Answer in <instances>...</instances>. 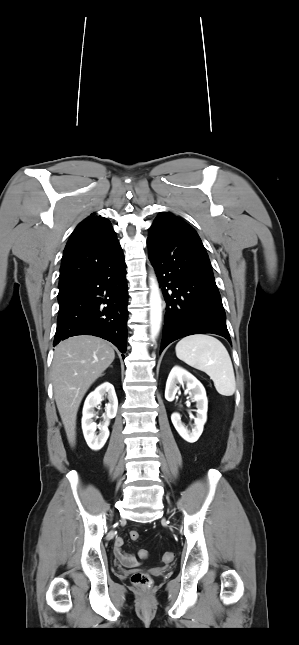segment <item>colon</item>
<instances>
[{"instance_id": "colon-1", "label": "colon", "mask_w": 299, "mask_h": 645, "mask_svg": "<svg viewBox=\"0 0 299 645\" xmlns=\"http://www.w3.org/2000/svg\"><path fill=\"white\" fill-rule=\"evenodd\" d=\"M130 537H131L132 540H137L139 538V533L137 531H131L130 532ZM138 555H139L140 558L145 559L148 556V552L146 550H144V549H141L138 552ZM173 558H174V555L171 552H165L162 555V560L164 562H166V563L171 562L173 560ZM132 582L137 587L144 588V587H147L149 585L150 577L146 573L138 572V573H135L132 576Z\"/></svg>"}]
</instances>
